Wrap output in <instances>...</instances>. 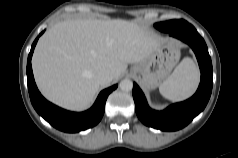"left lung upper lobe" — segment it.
Wrapping results in <instances>:
<instances>
[{
  "instance_id": "1",
  "label": "left lung upper lobe",
  "mask_w": 238,
  "mask_h": 158,
  "mask_svg": "<svg viewBox=\"0 0 238 158\" xmlns=\"http://www.w3.org/2000/svg\"><path fill=\"white\" fill-rule=\"evenodd\" d=\"M187 22L185 20H171V21H167V22H161V23H156L154 26L159 29L160 31L163 32H168V26H170L171 24H176L177 26H181L186 24Z\"/></svg>"
}]
</instances>
